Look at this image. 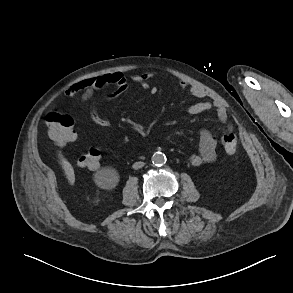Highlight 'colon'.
<instances>
[{"mask_svg":"<svg viewBox=\"0 0 293 293\" xmlns=\"http://www.w3.org/2000/svg\"><path fill=\"white\" fill-rule=\"evenodd\" d=\"M46 124L50 138L58 144H66L75 140L74 119L58 110L49 112L46 116ZM238 145L234 133L228 132L222 136V146L227 154H234ZM101 152L97 148H91L78 159V164L89 169H96L100 164Z\"/></svg>","mask_w":293,"mask_h":293,"instance_id":"obj_1","label":"colon"}]
</instances>
